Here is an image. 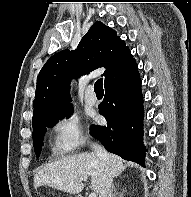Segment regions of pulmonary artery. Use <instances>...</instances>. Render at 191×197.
I'll return each instance as SVG.
<instances>
[{
  "mask_svg": "<svg viewBox=\"0 0 191 197\" xmlns=\"http://www.w3.org/2000/svg\"><path fill=\"white\" fill-rule=\"evenodd\" d=\"M84 99H85V102L91 106L97 103V98L94 94L93 86L87 87Z\"/></svg>",
  "mask_w": 191,
  "mask_h": 197,
  "instance_id": "obj_1",
  "label": "pulmonary artery"
}]
</instances>
